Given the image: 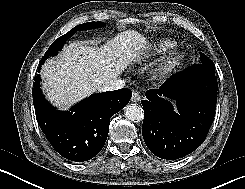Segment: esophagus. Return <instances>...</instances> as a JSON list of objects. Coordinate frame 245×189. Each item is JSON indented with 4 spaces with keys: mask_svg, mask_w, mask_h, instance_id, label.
<instances>
[{
    "mask_svg": "<svg viewBox=\"0 0 245 189\" xmlns=\"http://www.w3.org/2000/svg\"><path fill=\"white\" fill-rule=\"evenodd\" d=\"M141 99V96H140V93L138 91H134L133 94H132V102H139Z\"/></svg>",
    "mask_w": 245,
    "mask_h": 189,
    "instance_id": "1",
    "label": "esophagus"
}]
</instances>
